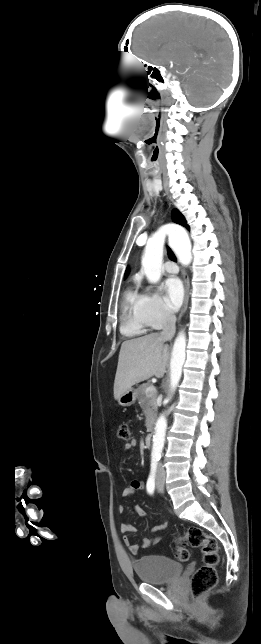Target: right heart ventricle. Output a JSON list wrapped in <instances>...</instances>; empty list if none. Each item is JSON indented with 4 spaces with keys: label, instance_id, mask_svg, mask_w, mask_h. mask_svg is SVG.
Returning <instances> with one entry per match:
<instances>
[{
    "label": "right heart ventricle",
    "instance_id": "right-heart-ventricle-1",
    "mask_svg": "<svg viewBox=\"0 0 261 644\" xmlns=\"http://www.w3.org/2000/svg\"><path fill=\"white\" fill-rule=\"evenodd\" d=\"M143 310V297L132 288L126 290L122 306L121 331L126 336H139L148 331Z\"/></svg>",
    "mask_w": 261,
    "mask_h": 644
}]
</instances>
